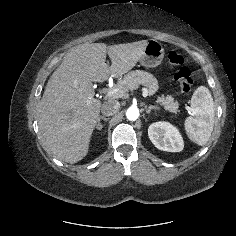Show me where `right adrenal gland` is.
<instances>
[{
    "instance_id": "right-adrenal-gland-1",
    "label": "right adrenal gland",
    "mask_w": 236,
    "mask_h": 236,
    "mask_svg": "<svg viewBox=\"0 0 236 236\" xmlns=\"http://www.w3.org/2000/svg\"><path fill=\"white\" fill-rule=\"evenodd\" d=\"M101 120H103V121H108L109 118H106V117H104V116H100V117H99L98 122H97V125H96V128H97L98 130H101L102 127H103L102 124H101Z\"/></svg>"
}]
</instances>
